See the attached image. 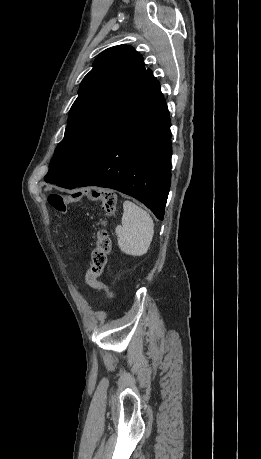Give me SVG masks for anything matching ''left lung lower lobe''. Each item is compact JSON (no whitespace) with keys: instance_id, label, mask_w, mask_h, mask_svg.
Returning <instances> with one entry per match:
<instances>
[{"instance_id":"obj_1","label":"left lung lower lobe","mask_w":261,"mask_h":459,"mask_svg":"<svg viewBox=\"0 0 261 459\" xmlns=\"http://www.w3.org/2000/svg\"><path fill=\"white\" fill-rule=\"evenodd\" d=\"M158 86L105 146L58 186H99L145 204L162 220L171 183V132Z\"/></svg>"}]
</instances>
